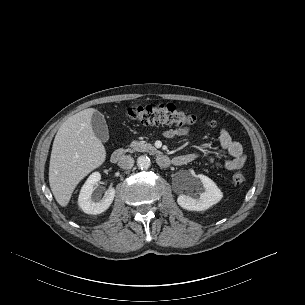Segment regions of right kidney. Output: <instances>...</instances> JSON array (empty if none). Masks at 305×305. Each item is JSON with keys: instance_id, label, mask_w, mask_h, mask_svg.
Instances as JSON below:
<instances>
[{"instance_id": "1", "label": "right kidney", "mask_w": 305, "mask_h": 305, "mask_svg": "<svg viewBox=\"0 0 305 305\" xmlns=\"http://www.w3.org/2000/svg\"><path fill=\"white\" fill-rule=\"evenodd\" d=\"M101 179V175L99 172L92 173L85 184L83 185L79 197L78 204L80 208L87 214L97 215L102 212H105L115 197V189H108L102 201L95 202L92 200V193L94 191V187L98 184Z\"/></svg>"}]
</instances>
